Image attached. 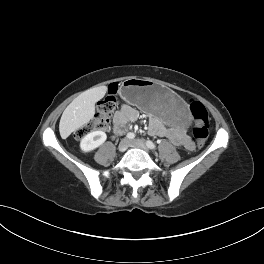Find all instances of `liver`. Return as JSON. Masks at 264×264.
<instances>
[{"mask_svg":"<svg viewBox=\"0 0 264 264\" xmlns=\"http://www.w3.org/2000/svg\"><path fill=\"white\" fill-rule=\"evenodd\" d=\"M107 92L106 86L88 89L76 97L64 110L59 124L60 135L66 139L72 132L87 124L95 114V103Z\"/></svg>","mask_w":264,"mask_h":264,"instance_id":"obj_1","label":"liver"}]
</instances>
